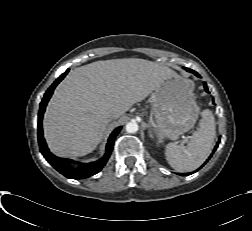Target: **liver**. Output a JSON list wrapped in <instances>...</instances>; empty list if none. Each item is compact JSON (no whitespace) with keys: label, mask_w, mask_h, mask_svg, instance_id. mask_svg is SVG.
Segmentation results:
<instances>
[{"label":"liver","mask_w":252,"mask_h":231,"mask_svg":"<svg viewBox=\"0 0 252 231\" xmlns=\"http://www.w3.org/2000/svg\"><path fill=\"white\" fill-rule=\"evenodd\" d=\"M174 72L138 58L96 61L71 70L57 86L43 120L49 149L80 157L101 142L110 114L118 119Z\"/></svg>","instance_id":"6515ba94"}]
</instances>
